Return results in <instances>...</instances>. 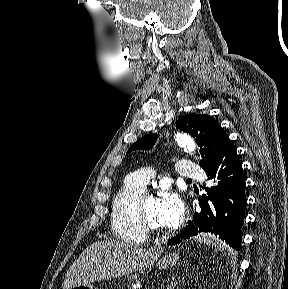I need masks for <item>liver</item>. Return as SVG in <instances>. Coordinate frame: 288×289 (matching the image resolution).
I'll use <instances>...</instances> for the list:
<instances>
[{
  "mask_svg": "<svg viewBox=\"0 0 288 289\" xmlns=\"http://www.w3.org/2000/svg\"><path fill=\"white\" fill-rule=\"evenodd\" d=\"M164 248H141L115 240L88 246L67 270L62 289L129 275L151 267Z\"/></svg>",
  "mask_w": 288,
  "mask_h": 289,
  "instance_id": "1",
  "label": "liver"
}]
</instances>
